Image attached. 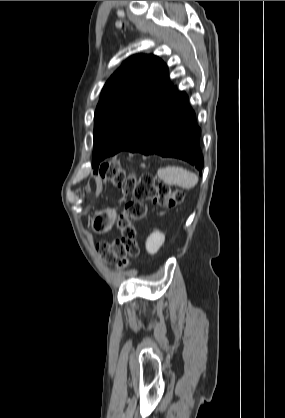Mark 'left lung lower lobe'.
Instances as JSON below:
<instances>
[{
	"label": "left lung lower lobe",
	"mask_w": 285,
	"mask_h": 418,
	"mask_svg": "<svg viewBox=\"0 0 285 418\" xmlns=\"http://www.w3.org/2000/svg\"><path fill=\"white\" fill-rule=\"evenodd\" d=\"M200 133L187 94L172 87L123 150L179 158L201 170ZM99 157L104 160L109 153Z\"/></svg>",
	"instance_id": "0a47b994"
}]
</instances>
